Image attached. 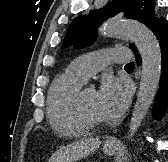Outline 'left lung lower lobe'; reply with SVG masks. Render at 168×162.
<instances>
[{"label": "left lung lower lobe", "instance_id": "obj_1", "mask_svg": "<svg viewBox=\"0 0 168 162\" xmlns=\"http://www.w3.org/2000/svg\"><path fill=\"white\" fill-rule=\"evenodd\" d=\"M159 41L161 48V78L160 87L153 106V118L159 119L165 112L168 105V23L164 18H159L148 27ZM138 65L141 64V58L134 50Z\"/></svg>", "mask_w": 168, "mask_h": 162}]
</instances>
